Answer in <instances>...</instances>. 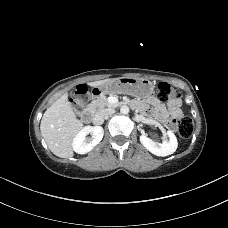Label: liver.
<instances>
[{
  "mask_svg": "<svg viewBox=\"0 0 228 228\" xmlns=\"http://www.w3.org/2000/svg\"><path fill=\"white\" fill-rule=\"evenodd\" d=\"M111 79L88 83L91 87H98ZM83 123L77 119L70 103L68 94H63L43 114L40 130L49 149L61 158L74 155L72 142L76 134L82 129Z\"/></svg>",
  "mask_w": 228,
  "mask_h": 228,
  "instance_id": "liver-1",
  "label": "liver"
}]
</instances>
